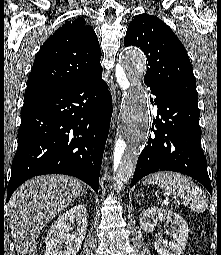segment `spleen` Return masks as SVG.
<instances>
[{
  "label": "spleen",
  "mask_w": 221,
  "mask_h": 255,
  "mask_svg": "<svg viewBox=\"0 0 221 255\" xmlns=\"http://www.w3.org/2000/svg\"><path fill=\"white\" fill-rule=\"evenodd\" d=\"M144 185L156 184L190 204L193 212L201 213L208 208V199L199 186L186 176L175 172H158L148 176Z\"/></svg>",
  "instance_id": "obj_1"
}]
</instances>
